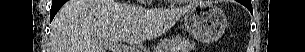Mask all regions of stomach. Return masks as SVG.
Masks as SVG:
<instances>
[{"instance_id":"1","label":"stomach","mask_w":305,"mask_h":52,"mask_svg":"<svg viewBox=\"0 0 305 52\" xmlns=\"http://www.w3.org/2000/svg\"><path fill=\"white\" fill-rule=\"evenodd\" d=\"M186 31L196 40L213 42L221 37L226 25L225 13L209 2H199L184 14Z\"/></svg>"}]
</instances>
